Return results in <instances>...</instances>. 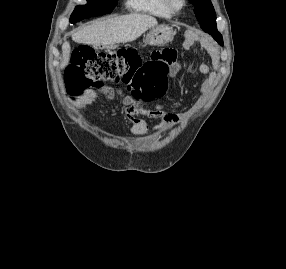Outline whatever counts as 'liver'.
<instances>
[{"label":"liver","mask_w":286,"mask_h":269,"mask_svg":"<svg viewBox=\"0 0 286 269\" xmlns=\"http://www.w3.org/2000/svg\"><path fill=\"white\" fill-rule=\"evenodd\" d=\"M155 26H157L156 18L146 14L132 13L104 21H95L73 33L72 39L77 43L95 47L125 43L135 40L147 29ZM70 50L69 42H64L60 65L62 69L69 63Z\"/></svg>","instance_id":"1"}]
</instances>
